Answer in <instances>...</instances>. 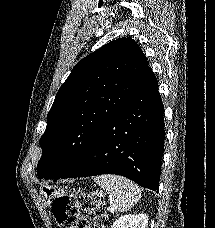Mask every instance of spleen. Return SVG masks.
I'll return each instance as SVG.
<instances>
[{
	"instance_id": "1",
	"label": "spleen",
	"mask_w": 215,
	"mask_h": 228,
	"mask_svg": "<svg viewBox=\"0 0 215 228\" xmlns=\"http://www.w3.org/2000/svg\"><path fill=\"white\" fill-rule=\"evenodd\" d=\"M93 180L98 186L104 188L107 194L115 198V208L118 212L131 210L141 198L139 186L123 176L103 174V176H93Z\"/></svg>"
}]
</instances>
